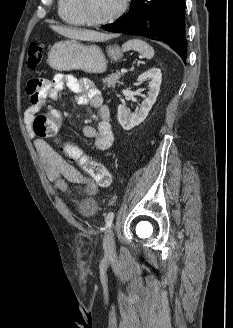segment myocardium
Listing matches in <instances>:
<instances>
[{
	"instance_id": "obj_1",
	"label": "myocardium",
	"mask_w": 233,
	"mask_h": 328,
	"mask_svg": "<svg viewBox=\"0 0 233 328\" xmlns=\"http://www.w3.org/2000/svg\"><path fill=\"white\" fill-rule=\"evenodd\" d=\"M75 1H76V8L81 14V16L83 17L85 23L91 26H100L115 21L125 13L129 4V0H122L119 7L113 13L101 19H94L87 12L85 0H75Z\"/></svg>"
}]
</instances>
